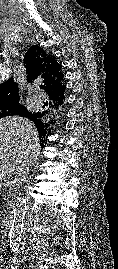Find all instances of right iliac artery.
I'll use <instances>...</instances> for the list:
<instances>
[{
  "label": "right iliac artery",
  "instance_id": "right-iliac-artery-1",
  "mask_svg": "<svg viewBox=\"0 0 118 269\" xmlns=\"http://www.w3.org/2000/svg\"><path fill=\"white\" fill-rule=\"evenodd\" d=\"M11 269H17L19 267V260L16 257H13L9 262Z\"/></svg>",
  "mask_w": 118,
  "mask_h": 269
}]
</instances>
